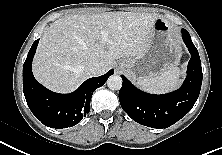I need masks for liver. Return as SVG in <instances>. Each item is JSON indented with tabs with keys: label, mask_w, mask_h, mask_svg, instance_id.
Returning <instances> with one entry per match:
<instances>
[{
	"label": "liver",
	"mask_w": 222,
	"mask_h": 155,
	"mask_svg": "<svg viewBox=\"0 0 222 155\" xmlns=\"http://www.w3.org/2000/svg\"><path fill=\"white\" fill-rule=\"evenodd\" d=\"M157 14L105 12L69 15L56 20L42 35L33 61V74L50 90L64 93L90 76L86 66L100 64L104 74L119 58L142 56L148 48ZM108 33L102 42L100 32Z\"/></svg>",
	"instance_id": "6515ba94"
}]
</instances>
